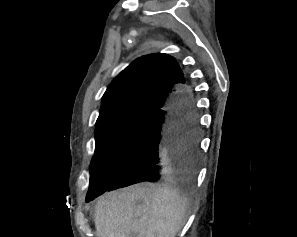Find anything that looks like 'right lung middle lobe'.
I'll list each match as a JSON object with an SVG mask.
<instances>
[{
	"label": "right lung middle lobe",
	"instance_id": "dd1d6c3e",
	"mask_svg": "<svg viewBox=\"0 0 297 237\" xmlns=\"http://www.w3.org/2000/svg\"><path fill=\"white\" fill-rule=\"evenodd\" d=\"M151 115L135 114L107 121L95 129V153L90 164L86 198L109 187Z\"/></svg>",
	"mask_w": 297,
	"mask_h": 237
}]
</instances>
